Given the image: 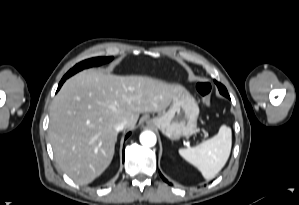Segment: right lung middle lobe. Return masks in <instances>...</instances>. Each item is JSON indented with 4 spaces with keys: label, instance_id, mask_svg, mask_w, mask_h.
<instances>
[{
    "label": "right lung middle lobe",
    "instance_id": "obj_1",
    "mask_svg": "<svg viewBox=\"0 0 299 205\" xmlns=\"http://www.w3.org/2000/svg\"><path fill=\"white\" fill-rule=\"evenodd\" d=\"M112 59H113V57H97V58H92V59L82 61V62L76 64L71 70H69L67 72V74L62 79L65 80L82 69L89 68L92 66H99L101 64L108 63Z\"/></svg>",
    "mask_w": 299,
    "mask_h": 205
}]
</instances>
